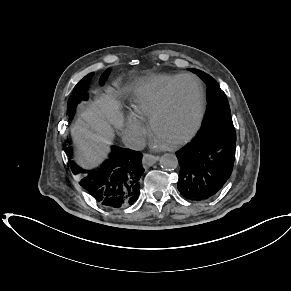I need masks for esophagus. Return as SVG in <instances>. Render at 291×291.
<instances>
[{"mask_svg":"<svg viewBox=\"0 0 291 291\" xmlns=\"http://www.w3.org/2000/svg\"><path fill=\"white\" fill-rule=\"evenodd\" d=\"M158 160H159V156H154L151 154H144L143 159H142V163L145 167H150L154 163H156Z\"/></svg>","mask_w":291,"mask_h":291,"instance_id":"obj_1","label":"esophagus"}]
</instances>
